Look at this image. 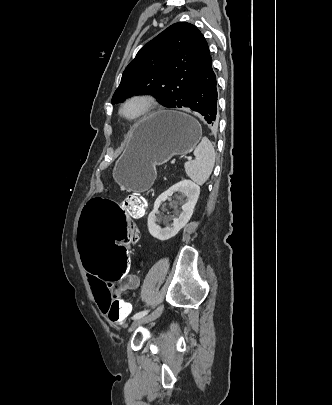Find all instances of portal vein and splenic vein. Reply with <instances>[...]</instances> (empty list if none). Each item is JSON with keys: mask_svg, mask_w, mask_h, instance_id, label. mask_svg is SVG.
Returning <instances> with one entry per match:
<instances>
[{"mask_svg": "<svg viewBox=\"0 0 332 405\" xmlns=\"http://www.w3.org/2000/svg\"><path fill=\"white\" fill-rule=\"evenodd\" d=\"M187 159H188V160H191V159H192V157H187Z\"/></svg>", "mask_w": 332, "mask_h": 405, "instance_id": "obj_1", "label": "portal vein and splenic vein"}]
</instances>
